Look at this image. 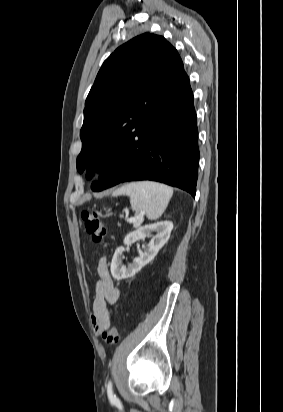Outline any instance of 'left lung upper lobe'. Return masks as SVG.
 <instances>
[{
    "label": "left lung upper lobe",
    "mask_w": 283,
    "mask_h": 412,
    "mask_svg": "<svg viewBox=\"0 0 283 412\" xmlns=\"http://www.w3.org/2000/svg\"><path fill=\"white\" fill-rule=\"evenodd\" d=\"M187 77L176 49L162 36L145 33L117 48L85 102L79 173L91 179L113 152L139 146Z\"/></svg>",
    "instance_id": "5c2ea615"
}]
</instances>
